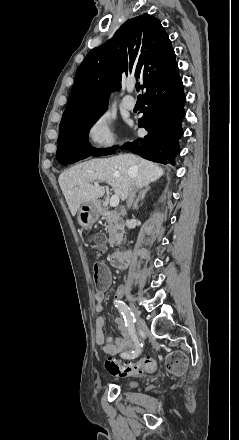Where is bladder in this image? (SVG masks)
Returning a JSON list of instances; mask_svg holds the SVG:
<instances>
[{
  "instance_id": "1",
  "label": "bladder",
  "mask_w": 239,
  "mask_h": 440,
  "mask_svg": "<svg viewBox=\"0 0 239 440\" xmlns=\"http://www.w3.org/2000/svg\"><path fill=\"white\" fill-rule=\"evenodd\" d=\"M129 387H136L137 385H138V382H136V381H128L127 383H126Z\"/></svg>"
}]
</instances>
